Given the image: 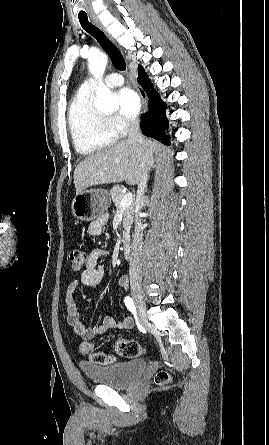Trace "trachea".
I'll return each mask as SVG.
<instances>
[{"label":"trachea","instance_id":"1","mask_svg":"<svg viewBox=\"0 0 269 445\" xmlns=\"http://www.w3.org/2000/svg\"><path fill=\"white\" fill-rule=\"evenodd\" d=\"M79 21L82 28L93 36L101 47L110 56L113 65L121 71L126 69V63L117 47L107 38L102 30L88 21L87 15H79Z\"/></svg>","mask_w":269,"mask_h":445}]
</instances>
